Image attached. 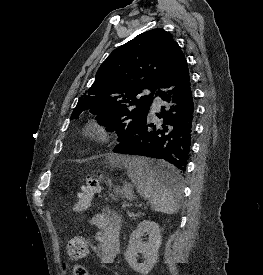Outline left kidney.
Returning <instances> with one entry per match:
<instances>
[{
    "mask_svg": "<svg viewBox=\"0 0 263 275\" xmlns=\"http://www.w3.org/2000/svg\"><path fill=\"white\" fill-rule=\"evenodd\" d=\"M160 232L159 225L148 220L140 222L132 232L125 252V260L134 271L147 275L152 270L158 260V250L162 243ZM145 234H148V242L142 240ZM138 253L143 255L145 259L143 263H138Z\"/></svg>",
    "mask_w": 263,
    "mask_h": 275,
    "instance_id": "obj_1",
    "label": "left kidney"
}]
</instances>
